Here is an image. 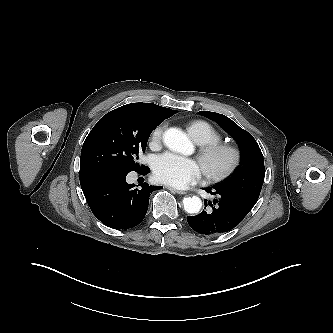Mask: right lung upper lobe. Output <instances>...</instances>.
<instances>
[{
	"label": "right lung upper lobe",
	"mask_w": 333,
	"mask_h": 333,
	"mask_svg": "<svg viewBox=\"0 0 333 333\" xmlns=\"http://www.w3.org/2000/svg\"><path fill=\"white\" fill-rule=\"evenodd\" d=\"M116 110L144 113L151 115L153 117H158L163 119L169 118L176 113L175 110L161 107L153 103H132L119 107Z\"/></svg>",
	"instance_id": "right-lung-upper-lobe-1"
}]
</instances>
